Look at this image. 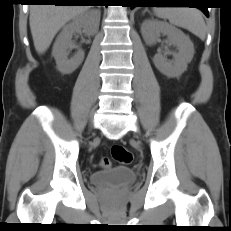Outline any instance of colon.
<instances>
[{"label": "colon", "instance_id": "colon-1", "mask_svg": "<svg viewBox=\"0 0 231 231\" xmlns=\"http://www.w3.org/2000/svg\"><path fill=\"white\" fill-rule=\"evenodd\" d=\"M133 160V155L126 147L122 145H114L111 147L107 157L102 159L101 164L103 167L108 168L112 162L120 164H130Z\"/></svg>", "mask_w": 231, "mask_h": 231}]
</instances>
